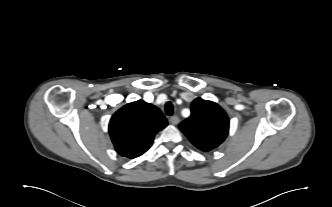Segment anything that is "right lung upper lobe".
Masks as SVG:
<instances>
[{"label": "right lung upper lobe", "mask_w": 332, "mask_h": 207, "mask_svg": "<svg viewBox=\"0 0 332 207\" xmlns=\"http://www.w3.org/2000/svg\"><path fill=\"white\" fill-rule=\"evenodd\" d=\"M166 126L167 120L156 106L138 100L112 116L109 134L121 156L135 158L150 148L156 133Z\"/></svg>", "instance_id": "obj_1"}]
</instances>
